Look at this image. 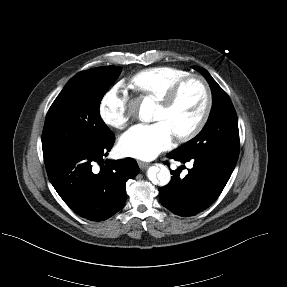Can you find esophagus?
<instances>
[{
  "label": "esophagus",
  "instance_id": "obj_1",
  "mask_svg": "<svg viewBox=\"0 0 287 287\" xmlns=\"http://www.w3.org/2000/svg\"><path fill=\"white\" fill-rule=\"evenodd\" d=\"M140 169H146L150 164L142 161H138Z\"/></svg>",
  "mask_w": 287,
  "mask_h": 287
}]
</instances>
